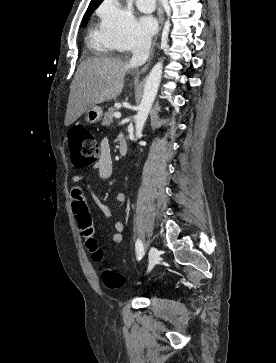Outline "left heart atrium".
<instances>
[{
	"instance_id": "left-heart-atrium-1",
	"label": "left heart atrium",
	"mask_w": 276,
	"mask_h": 363,
	"mask_svg": "<svg viewBox=\"0 0 276 363\" xmlns=\"http://www.w3.org/2000/svg\"><path fill=\"white\" fill-rule=\"evenodd\" d=\"M140 27L145 35L151 36L158 29V20L152 15H143L140 17Z\"/></svg>"
}]
</instances>
